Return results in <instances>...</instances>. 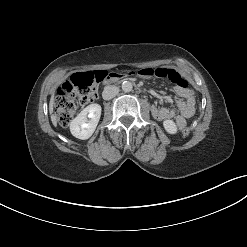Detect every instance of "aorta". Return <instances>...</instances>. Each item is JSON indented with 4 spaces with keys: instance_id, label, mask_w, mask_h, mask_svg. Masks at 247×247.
<instances>
[{
    "instance_id": "1",
    "label": "aorta",
    "mask_w": 247,
    "mask_h": 247,
    "mask_svg": "<svg viewBox=\"0 0 247 247\" xmlns=\"http://www.w3.org/2000/svg\"><path fill=\"white\" fill-rule=\"evenodd\" d=\"M132 89H133V85H132L131 82H129V81H124V82L122 83V90H123L124 92H130V91H132Z\"/></svg>"
}]
</instances>
